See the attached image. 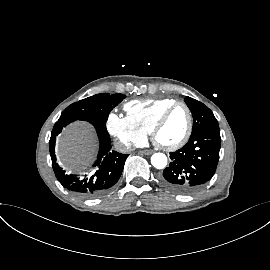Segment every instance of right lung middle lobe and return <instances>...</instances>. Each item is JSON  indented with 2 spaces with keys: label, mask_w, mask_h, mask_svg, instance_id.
<instances>
[{
  "label": "right lung middle lobe",
  "mask_w": 270,
  "mask_h": 270,
  "mask_svg": "<svg viewBox=\"0 0 270 270\" xmlns=\"http://www.w3.org/2000/svg\"><path fill=\"white\" fill-rule=\"evenodd\" d=\"M125 96L117 93H101L80 100L68 106L59 120L93 118L106 123L110 111L122 101Z\"/></svg>",
  "instance_id": "obj_1"
}]
</instances>
